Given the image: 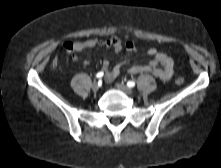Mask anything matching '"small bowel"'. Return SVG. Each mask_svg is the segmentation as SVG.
Returning a JSON list of instances; mask_svg holds the SVG:
<instances>
[{
	"label": "small bowel",
	"instance_id": "obj_1",
	"mask_svg": "<svg viewBox=\"0 0 221 168\" xmlns=\"http://www.w3.org/2000/svg\"><path fill=\"white\" fill-rule=\"evenodd\" d=\"M97 45H107L112 47L115 53H120L125 49L129 53H135L139 50L138 46L128 40L124 45L121 43L120 39L116 36L111 37L105 42H101L96 39H89L83 42L80 41H69L64 44V48L72 55L73 59H77L76 53L80 52L86 48H92ZM146 54L152 57V60L145 65H132L129 68V73L131 74H141V73H151L156 78L162 81H169L175 71V64L173 59L164 52L157 50L156 48H149ZM129 62L128 59H124L117 63L115 66L111 67L109 60H104L102 62V72L105 75L107 81H112L117 78L123 66ZM88 60H84V64L87 65Z\"/></svg>",
	"mask_w": 221,
	"mask_h": 168
}]
</instances>
